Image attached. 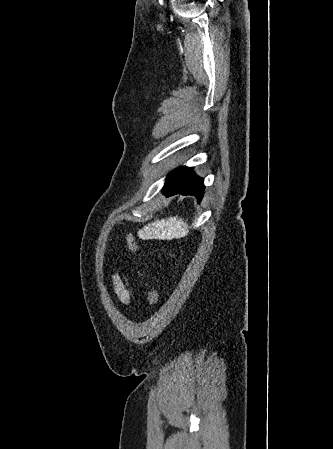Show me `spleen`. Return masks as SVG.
<instances>
[{
    "label": "spleen",
    "mask_w": 333,
    "mask_h": 449,
    "mask_svg": "<svg viewBox=\"0 0 333 449\" xmlns=\"http://www.w3.org/2000/svg\"><path fill=\"white\" fill-rule=\"evenodd\" d=\"M189 232V226L178 216L156 220L144 226L138 234L142 239H173L182 238Z\"/></svg>",
    "instance_id": "obj_1"
}]
</instances>
